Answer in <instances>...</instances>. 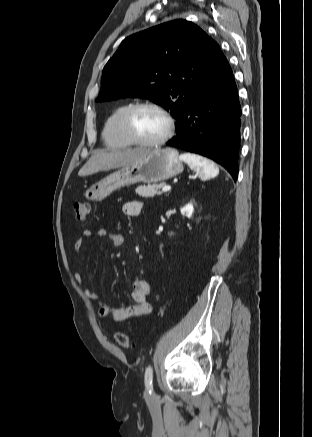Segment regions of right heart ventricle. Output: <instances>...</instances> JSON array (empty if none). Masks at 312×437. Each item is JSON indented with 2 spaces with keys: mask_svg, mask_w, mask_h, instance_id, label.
<instances>
[{
  "mask_svg": "<svg viewBox=\"0 0 312 437\" xmlns=\"http://www.w3.org/2000/svg\"><path fill=\"white\" fill-rule=\"evenodd\" d=\"M131 105V103H124L117 106L105 120L102 137L108 147L122 149L132 145L121 129L122 116Z\"/></svg>",
  "mask_w": 312,
  "mask_h": 437,
  "instance_id": "right-heart-ventricle-1",
  "label": "right heart ventricle"
}]
</instances>
